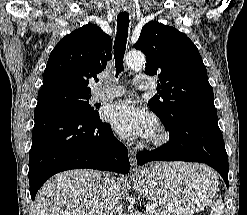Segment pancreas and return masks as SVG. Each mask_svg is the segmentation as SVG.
I'll use <instances>...</instances> for the list:
<instances>
[{"mask_svg": "<svg viewBox=\"0 0 247 215\" xmlns=\"http://www.w3.org/2000/svg\"><path fill=\"white\" fill-rule=\"evenodd\" d=\"M146 215H149V214H146ZM153 215H170V214L166 211H155Z\"/></svg>", "mask_w": 247, "mask_h": 215, "instance_id": "cf45deb5", "label": "pancreas"}]
</instances>
